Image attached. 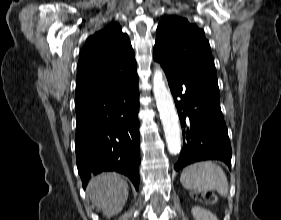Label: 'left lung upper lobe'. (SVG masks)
Returning <instances> with one entry per match:
<instances>
[{"instance_id":"1","label":"left lung upper lobe","mask_w":281,"mask_h":220,"mask_svg":"<svg viewBox=\"0 0 281 220\" xmlns=\"http://www.w3.org/2000/svg\"><path fill=\"white\" fill-rule=\"evenodd\" d=\"M154 60L174 70L190 72L218 88L214 59L204 31L185 18L167 16L160 21Z\"/></svg>"}]
</instances>
